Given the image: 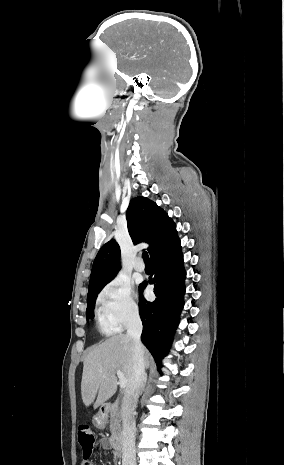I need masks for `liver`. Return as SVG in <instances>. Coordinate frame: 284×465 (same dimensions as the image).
Listing matches in <instances>:
<instances>
[{"instance_id": "liver-1", "label": "liver", "mask_w": 284, "mask_h": 465, "mask_svg": "<svg viewBox=\"0 0 284 465\" xmlns=\"http://www.w3.org/2000/svg\"><path fill=\"white\" fill-rule=\"evenodd\" d=\"M133 341L128 335L110 337L92 351L84 359L81 395L86 407L94 403V409L105 405L117 391L116 371H122L127 387L131 383L133 371ZM144 365L148 369L150 355L143 347Z\"/></svg>"}]
</instances>
